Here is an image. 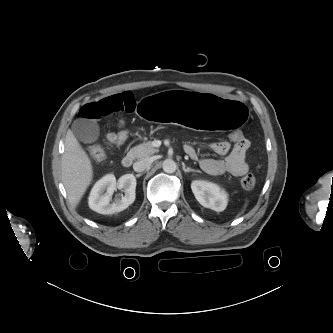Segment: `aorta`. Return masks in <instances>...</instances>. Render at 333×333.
<instances>
[{"instance_id": "762f6f07", "label": "aorta", "mask_w": 333, "mask_h": 333, "mask_svg": "<svg viewBox=\"0 0 333 333\" xmlns=\"http://www.w3.org/2000/svg\"><path fill=\"white\" fill-rule=\"evenodd\" d=\"M162 167H163L164 172H166V173H174L177 169L176 162L172 159H166L163 162Z\"/></svg>"}]
</instances>
